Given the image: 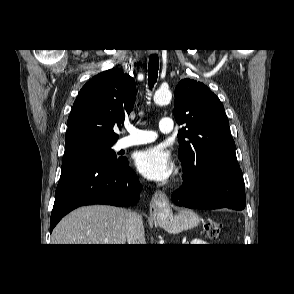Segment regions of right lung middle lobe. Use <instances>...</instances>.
Segmentation results:
<instances>
[{"mask_svg":"<svg viewBox=\"0 0 294 294\" xmlns=\"http://www.w3.org/2000/svg\"><path fill=\"white\" fill-rule=\"evenodd\" d=\"M114 143L94 139H82L67 143L62 164L84 158H97L110 163L125 160V158H116L112 149Z\"/></svg>","mask_w":294,"mask_h":294,"instance_id":"right-lung-middle-lobe-1","label":"right lung middle lobe"}]
</instances>
